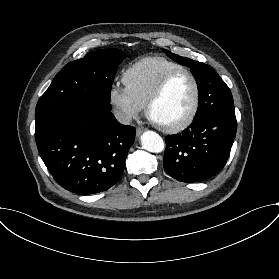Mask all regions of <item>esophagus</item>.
<instances>
[{
    "mask_svg": "<svg viewBox=\"0 0 279 279\" xmlns=\"http://www.w3.org/2000/svg\"><path fill=\"white\" fill-rule=\"evenodd\" d=\"M144 131H145V129L143 127H137L136 136L139 137Z\"/></svg>",
    "mask_w": 279,
    "mask_h": 279,
    "instance_id": "esophagus-1",
    "label": "esophagus"
}]
</instances>
